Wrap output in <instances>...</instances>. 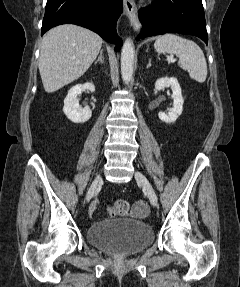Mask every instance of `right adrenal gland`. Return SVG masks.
Returning <instances> with one entry per match:
<instances>
[{
  "instance_id": "obj_1",
  "label": "right adrenal gland",
  "mask_w": 240,
  "mask_h": 287,
  "mask_svg": "<svg viewBox=\"0 0 240 287\" xmlns=\"http://www.w3.org/2000/svg\"><path fill=\"white\" fill-rule=\"evenodd\" d=\"M103 49H101L100 50V55H99V57H98V59L95 61V64H97V62H101V63H103L104 61H103Z\"/></svg>"
}]
</instances>
